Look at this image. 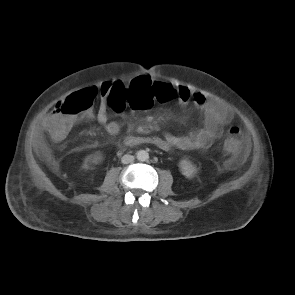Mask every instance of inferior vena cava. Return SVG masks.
Wrapping results in <instances>:
<instances>
[{
  "label": "inferior vena cava",
  "mask_w": 295,
  "mask_h": 295,
  "mask_svg": "<svg viewBox=\"0 0 295 295\" xmlns=\"http://www.w3.org/2000/svg\"><path fill=\"white\" fill-rule=\"evenodd\" d=\"M134 160V156L132 155H124L122 158H121V162L123 164H128V163H131L132 161Z\"/></svg>",
  "instance_id": "inferior-vena-cava-1"
}]
</instances>
